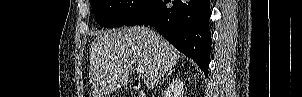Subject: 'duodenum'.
Here are the masks:
<instances>
[{
    "instance_id": "obj_1",
    "label": "duodenum",
    "mask_w": 302,
    "mask_h": 97,
    "mask_svg": "<svg viewBox=\"0 0 302 97\" xmlns=\"http://www.w3.org/2000/svg\"><path fill=\"white\" fill-rule=\"evenodd\" d=\"M138 97H146V95L144 93H140Z\"/></svg>"
}]
</instances>
